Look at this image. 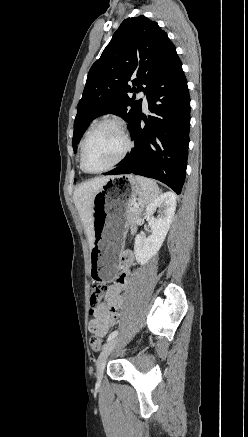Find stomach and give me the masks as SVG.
<instances>
[{"label":"stomach","mask_w":248,"mask_h":437,"mask_svg":"<svg viewBox=\"0 0 248 437\" xmlns=\"http://www.w3.org/2000/svg\"><path fill=\"white\" fill-rule=\"evenodd\" d=\"M140 195L141 187L136 178L127 174L110 178L94 196L90 257L91 276L97 286L113 285L128 230L126 212L134 201L140 204Z\"/></svg>","instance_id":"0dacf381"}]
</instances>
